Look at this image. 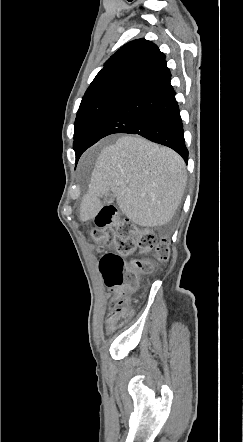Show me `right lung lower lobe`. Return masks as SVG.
<instances>
[{
    "label": "right lung lower lobe",
    "mask_w": 243,
    "mask_h": 442,
    "mask_svg": "<svg viewBox=\"0 0 243 442\" xmlns=\"http://www.w3.org/2000/svg\"><path fill=\"white\" fill-rule=\"evenodd\" d=\"M170 81L168 69L129 92L103 119L87 148L110 134H138L172 148L187 163L183 124Z\"/></svg>",
    "instance_id": "right-lung-lower-lobe-1"
}]
</instances>
